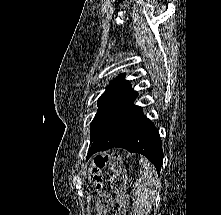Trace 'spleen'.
<instances>
[{
	"label": "spleen",
	"mask_w": 221,
	"mask_h": 215,
	"mask_svg": "<svg viewBox=\"0 0 221 215\" xmlns=\"http://www.w3.org/2000/svg\"><path fill=\"white\" fill-rule=\"evenodd\" d=\"M139 179L134 185L135 196L132 212L133 215H148L154 203L159 182L154 166L145 158L140 159Z\"/></svg>",
	"instance_id": "1"
}]
</instances>
